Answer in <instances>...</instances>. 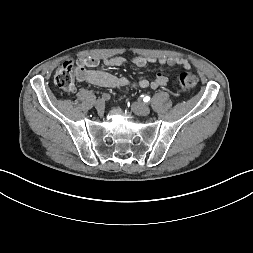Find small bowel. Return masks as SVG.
<instances>
[{"label": "small bowel", "instance_id": "c3829d8e", "mask_svg": "<svg viewBox=\"0 0 253 253\" xmlns=\"http://www.w3.org/2000/svg\"><path fill=\"white\" fill-rule=\"evenodd\" d=\"M78 69L76 76L78 81L87 82L89 84L104 87V88H160L166 86L168 78L161 72H158L154 79H140L130 81L125 77H118L110 72H107L108 67H120L127 64L128 60L123 56H116L104 59L100 62L97 57H80L78 60ZM158 62L159 65L179 66L185 70L190 69L188 60L180 57H162L159 59L150 57H134L130 63L138 68H143L148 64ZM97 66L98 69H94Z\"/></svg>", "mask_w": 253, "mask_h": 253}]
</instances>
